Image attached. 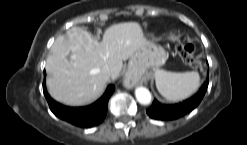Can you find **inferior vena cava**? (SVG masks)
<instances>
[{
  "mask_svg": "<svg viewBox=\"0 0 247 145\" xmlns=\"http://www.w3.org/2000/svg\"><path fill=\"white\" fill-rule=\"evenodd\" d=\"M102 73H103L105 76L109 77V76H110L109 68H108V67L104 68V69L102 70Z\"/></svg>",
  "mask_w": 247,
  "mask_h": 145,
  "instance_id": "inferior-vena-cava-1",
  "label": "inferior vena cava"
}]
</instances>
